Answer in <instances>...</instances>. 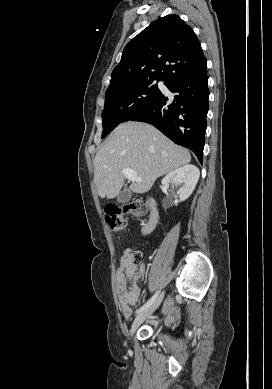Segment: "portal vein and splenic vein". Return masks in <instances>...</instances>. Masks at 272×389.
Wrapping results in <instances>:
<instances>
[{
	"mask_svg": "<svg viewBox=\"0 0 272 389\" xmlns=\"http://www.w3.org/2000/svg\"><path fill=\"white\" fill-rule=\"evenodd\" d=\"M123 174L126 178H128L132 182H141V178H139L134 170L131 169H123Z\"/></svg>",
	"mask_w": 272,
	"mask_h": 389,
	"instance_id": "1",
	"label": "portal vein and splenic vein"
}]
</instances>
